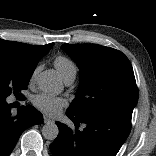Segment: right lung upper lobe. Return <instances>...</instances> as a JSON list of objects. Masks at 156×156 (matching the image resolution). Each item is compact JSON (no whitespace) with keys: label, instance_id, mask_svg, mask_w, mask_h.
Listing matches in <instances>:
<instances>
[{"label":"right lung upper lobe","instance_id":"1","mask_svg":"<svg viewBox=\"0 0 156 156\" xmlns=\"http://www.w3.org/2000/svg\"><path fill=\"white\" fill-rule=\"evenodd\" d=\"M53 43L34 46L0 39V55L6 56L24 68L34 69L39 60L52 48Z\"/></svg>","mask_w":156,"mask_h":156}]
</instances>
